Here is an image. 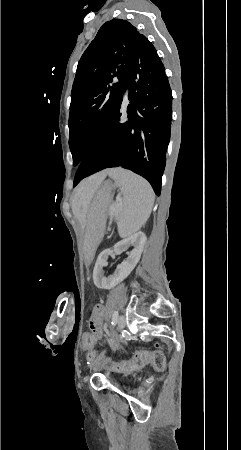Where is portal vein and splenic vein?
Listing matches in <instances>:
<instances>
[{
	"label": "portal vein and splenic vein",
	"mask_w": 241,
	"mask_h": 450,
	"mask_svg": "<svg viewBox=\"0 0 241 450\" xmlns=\"http://www.w3.org/2000/svg\"><path fill=\"white\" fill-rule=\"evenodd\" d=\"M108 209H110L109 211H110V213H112V214H115V213H117V209H119L120 208V205L118 204V202H113V204H108Z\"/></svg>",
	"instance_id": "portal-vein-and-splenic-vein-1"
}]
</instances>
